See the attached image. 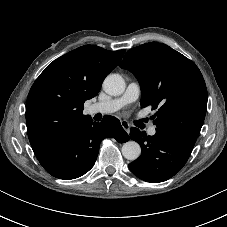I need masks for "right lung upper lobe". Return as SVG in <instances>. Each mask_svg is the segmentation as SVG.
<instances>
[{
  "label": "right lung upper lobe",
  "instance_id": "obj_1",
  "mask_svg": "<svg viewBox=\"0 0 227 227\" xmlns=\"http://www.w3.org/2000/svg\"><path fill=\"white\" fill-rule=\"evenodd\" d=\"M124 53L85 45L54 60L40 74L26 103L28 137L38 160L91 119L83 115V104L98 94Z\"/></svg>",
  "mask_w": 227,
  "mask_h": 227
}]
</instances>
